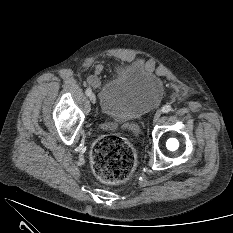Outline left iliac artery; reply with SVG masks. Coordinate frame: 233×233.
<instances>
[{
	"label": "left iliac artery",
	"mask_w": 233,
	"mask_h": 233,
	"mask_svg": "<svg viewBox=\"0 0 233 233\" xmlns=\"http://www.w3.org/2000/svg\"><path fill=\"white\" fill-rule=\"evenodd\" d=\"M172 109V107L170 105H165L163 108H162V112L163 113H168L170 112Z\"/></svg>",
	"instance_id": "left-iliac-artery-1"
}]
</instances>
